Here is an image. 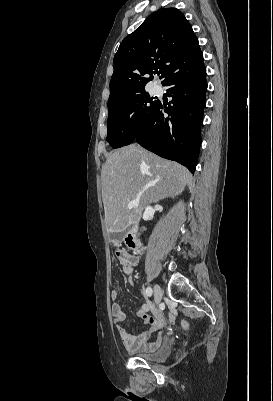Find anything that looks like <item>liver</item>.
<instances>
[{
    "label": "liver",
    "mask_w": 273,
    "mask_h": 401,
    "mask_svg": "<svg viewBox=\"0 0 273 401\" xmlns=\"http://www.w3.org/2000/svg\"><path fill=\"white\" fill-rule=\"evenodd\" d=\"M101 176L107 233H122L136 225L147 205L180 194L192 180L185 166L160 158L139 144L108 154ZM130 201H139V207L128 209Z\"/></svg>",
    "instance_id": "1"
}]
</instances>
